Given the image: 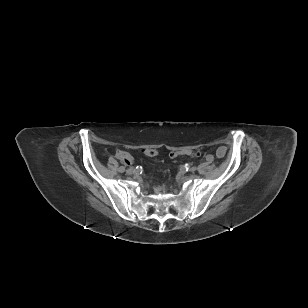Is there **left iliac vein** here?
<instances>
[{"mask_svg": "<svg viewBox=\"0 0 308 308\" xmlns=\"http://www.w3.org/2000/svg\"><path fill=\"white\" fill-rule=\"evenodd\" d=\"M190 171H191V172H195V171H196V167H191V168H190Z\"/></svg>", "mask_w": 308, "mask_h": 308, "instance_id": "obj_1", "label": "left iliac vein"}]
</instances>
